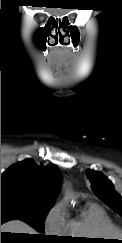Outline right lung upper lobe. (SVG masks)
Returning a JSON list of instances; mask_svg holds the SVG:
<instances>
[{"label":"right lung upper lobe","instance_id":"right-lung-upper-lobe-1","mask_svg":"<svg viewBox=\"0 0 122 243\" xmlns=\"http://www.w3.org/2000/svg\"><path fill=\"white\" fill-rule=\"evenodd\" d=\"M59 168L38 165L26 159L9 167L1 175V197L13 196L34 202L53 204L61 186Z\"/></svg>","mask_w":122,"mask_h":243}]
</instances>
